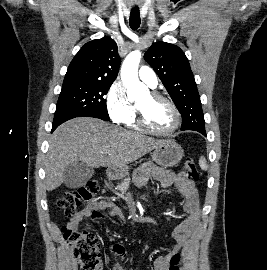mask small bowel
I'll use <instances>...</instances> for the list:
<instances>
[{
  "instance_id": "small-bowel-1",
  "label": "small bowel",
  "mask_w": 267,
  "mask_h": 270,
  "mask_svg": "<svg viewBox=\"0 0 267 270\" xmlns=\"http://www.w3.org/2000/svg\"><path fill=\"white\" fill-rule=\"evenodd\" d=\"M150 178L158 180L163 188L174 184L183 199V211L186 214V217L172 231V238L175 241L173 249L165 256L157 257L153 263L154 270H168L171 257L182 250L196 232L201 218L198 192L194 182L188 179L184 172L167 171L153 164H147L137 172L135 184L142 187ZM106 209L109 210L112 216L123 217V212L113 202L105 200L92 201L74 214L68 225L73 228L79 227L82 220L87 217L96 221L101 220L104 217L102 211ZM112 254L123 259L126 256V250L123 245L115 244L112 247ZM112 270H123V268L117 261L113 260Z\"/></svg>"
}]
</instances>
